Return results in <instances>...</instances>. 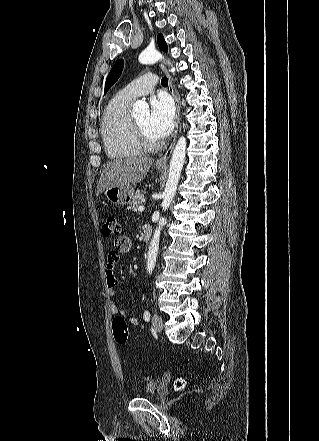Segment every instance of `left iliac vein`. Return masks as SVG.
<instances>
[{
    "label": "left iliac vein",
    "instance_id": "1",
    "mask_svg": "<svg viewBox=\"0 0 319 441\" xmlns=\"http://www.w3.org/2000/svg\"><path fill=\"white\" fill-rule=\"evenodd\" d=\"M152 326L156 332H160L163 328L162 318L158 314H154L152 317Z\"/></svg>",
    "mask_w": 319,
    "mask_h": 441
}]
</instances>
